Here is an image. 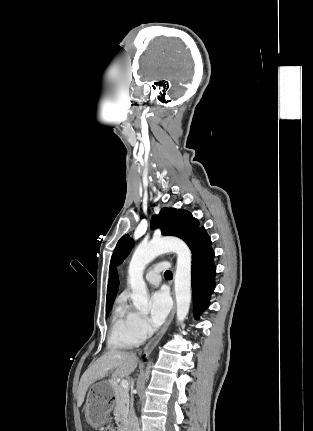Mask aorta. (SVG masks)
Masks as SVG:
<instances>
[{"instance_id": "762f6f07", "label": "aorta", "mask_w": 313, "mask_h": 431, "mask_svg": "<svg viewBox=\"0 0 313 431\" xmlns=\"http://www.w3.org/2000/svg\"><path fill=\"white\" fill-rule=\"evenodd\" d=\"M167 252L177 254L175 273L177 320L183 322L189 312L191 302L192 259L189 247L181 239L174 237L153 239L148 244H141L136 248L128 268V283L132 288L131 299L136 309L143 313L148 312V292L143 272L148 263L158 255ZM147 373L146 377H148Z\"/></svg>"}]
</instances>
